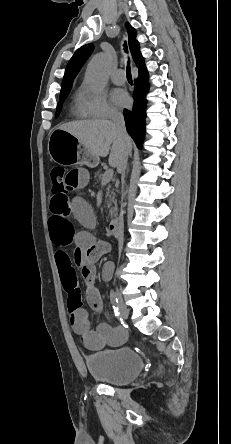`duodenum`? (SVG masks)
<instances>
[{
  "instance_id": "410a0bca",
  "label": "duodenum",
  "mask_w": 231,
  "mask_h": 444,
  "mask_svg": "<svg viewBox=\"0 0 231 444\" xmlns=\"http://www.w3.org/2000/svg\"><path fill=\"white\" fill-rule=\"evenodd\" d=\"M118 218H116V219H113L110 223H109V225H108V231H109V233L112 235V236H114V237H117L118 236V231H120V230H118Z\"/></svg>"
}]
</instances>
